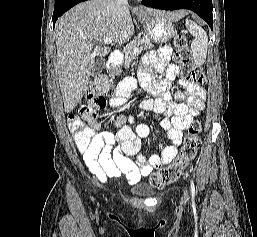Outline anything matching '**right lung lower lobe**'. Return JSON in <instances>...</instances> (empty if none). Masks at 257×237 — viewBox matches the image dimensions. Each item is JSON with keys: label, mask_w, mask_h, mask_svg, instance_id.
Instances as JSON below:
<instances>
[{"label": "right lung lower lobe", "mask_w": 257, "mask_h": 237, "mask_svg": "<svg viewBox=\"0 0 257 237\" xmlns=\"http://www.w3.org/2000/svg\"><path fill=\"white\" fill-rule=\"evenodd\" d=\"M87 1V0H56L55 1V8L53 12V26L55 25L57 19L63 15L67 10L75 6L76 4Z\"/></svg>", "instance_id": "1"}]
</instances>
